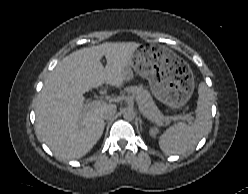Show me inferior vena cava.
Wrapping results in <instances>:
<instances>
[{
  "instance_id": "inferior-vena-cava-1",
  "label": "inferior vena cava",
  "mask_w": 248,
  "mask_h": 194,
  "mask_svg": "<svg viewBox=\"0 0 248 194\" xmlns=\"http://www.w3.org/2000/svg\"><path fill=\"white\" fill-rule=\"evenodd\" d=\"M116 111H117L116 106H114V105L109 106L104 111V119H106V120L112 119L115 116Z\"/></svg>"
}]
</instances>
